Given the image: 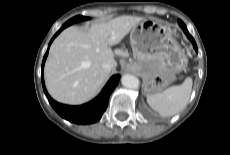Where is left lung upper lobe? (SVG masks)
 Returning a JSON list of instances; mask_svg holds the SVG:
<instances>
[{
	"label": "left lung upper lobe",
	"instance_id": "left-lung-upper-lobe-1",
	"mask_svg": "<svg viewBox=\"0 0 230 155\" xmlns=\"http://www.w3.org/2000/svg\"><path fill=\"white\" fill-rule=\"evenodd\" d=\"M178 23L181 26V28H183L184 26H186L181 20H178Z\"/></svg>",
	"mask_w": 230,
	"mask_h": 155
}]
</instances>
